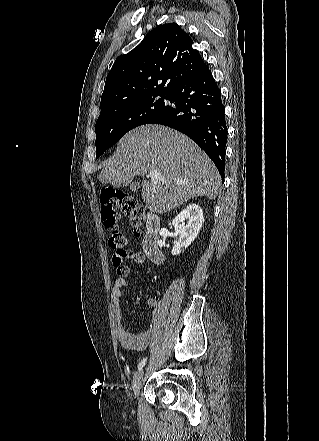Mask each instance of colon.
I'll return each instance as SVG.
<instances>
[{
	"label": "colon",
	"instance_id": "5ec220e1",
	"mask_svg": "<svg viewBox=\"0 0 319 441\" xmlns=\"http://www.w3.org/2000/svg\"><path fill=\"white\" fill-rule=\"evenodd\" d=\"M100 202L103 225L110 230L108 244L113 250L112 261L113 264L119 265L127 255V238L117 225V210L129 218L131 225L138 232L144 219L143 209L136 199L115 189L102 192Z\"/></svg>",
	"mask_w": 319,
	"mask_h": 441
}]
</instances>
